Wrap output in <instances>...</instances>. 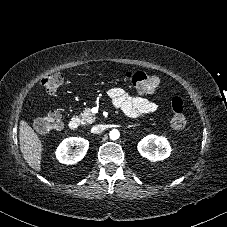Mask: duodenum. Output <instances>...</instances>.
Listing matches in <instances>:
<instances>
[{"mask_svg": "<svg viewBox=\"0 0 227 227\" xmlns=\"http://www.w3.org/2000/svg\"><path fill=\"white\" fill-rule=\"evenodd\" d=\"M68 126L71 130L75 131L80 127V120L74 117L69 121Z\"/></svg>", "mask_w": 227, "mask_h": 227, "instance_id": "obj_1", "label": "duodenum"}]
</instances>
